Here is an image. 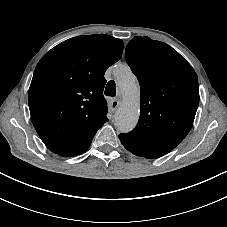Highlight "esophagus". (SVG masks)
<instances>
[{"instance_id": "esophagus-1", "label": "esophagus", "mask_w": 227, "mask_h": 227, "mask_svg": "<svg viewBox=\"0 0 227 227\" xmlns=\"http://www.w3.org/2000/svg\"><path fill=\"white\" fill-rule=\"evenodd\" d=\"M119 100H117V99H114V100H112L111 102H110V105H109V108H110V110L111 111H116L117 110V108L119 107Z\"/></svg>"}]
</instances>
